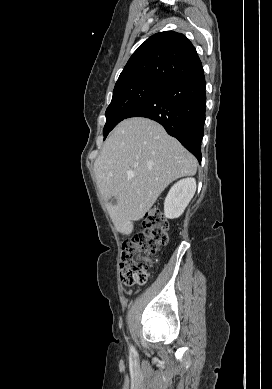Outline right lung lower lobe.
Returning <instances> with one entry per match:
<instances>
[{
	"label": "right lung lower lobe",
	"mask_w": 272,
	"mask_h": 389,
	"mask_svg": "<svg viewBox=\"0 0 272 389\" xmlns=\"http://www.w3.org/2000/svg\"><path fill=\"white\" fill-rule=\"evenodd\" d=\"M205 89L201 65L167 83L130 111L126 118L146 117L157 121L201 162L206 111Z\"/></svg>",
	"instance_id": "obj_1"
}]
</instances>
